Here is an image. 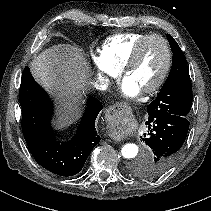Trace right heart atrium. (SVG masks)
Instances as JSON below:
<instances>
[{
  "label": "right heart atrium",
  "mask_w": 211,
  "mask_h": 211,
  "mask_svg": "<svg viewBox=\"0 0 211 211\" xmlns=\"http://www.w3.org/2000/svg\"><path fill=\"white\" fill-rule=\"evenodd\" d=\"M92 62L97 71L98 80L102 85H107L111 79L119 74V69L109 65L100 53H92Z\"/></svg>",
  "instance_id": "d8ad5b80"
}]
</instances>
